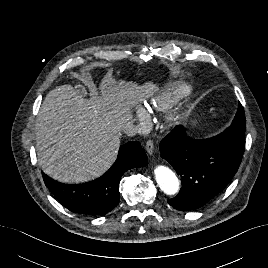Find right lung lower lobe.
<instances>
[{
	"label": "right lung lower lobe",
	"mask_w": 268,
	"mask_h": 268,
	"mask_svg": "<svg viewBox=\"0 0 268 268\" xmlns=\"http://www.w3.org/2000/svg\"><path fill=\"white\" fill-rule=\"evenodd\" d=\"M147 156L137 141L119 149L112 167L99 178L82 184H64L45 174L43 179L55 198L73 213L105 215L119 203L121 176L131 168L147 165Z\"/></svg>",
	"instance_id": "98d812e1"
}]
</instances>
